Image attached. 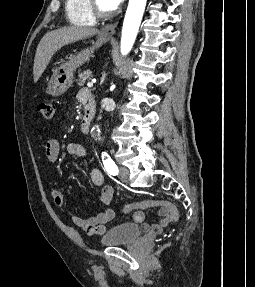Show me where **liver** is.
Segmentation results:
<instances>
[{"instance_id": "obj_1", "label": "liver", "mask_w": 255, "mask_h": 287, "mask_svg": "<svg viewBox=\"0 0 255 287\" xmlns=\"http://www.w3.org/2000/svg\"><path fill=\"white\" fill-rule=\"evenodd\" d=\"M97 32L96 28H90V26H67V28H59V30L47 32L40 40L35 54L33 66V80L35 84L42 76L44 70H46L53 54L58 52L62 46L74 44V42L85 40V38H91Z\"/></svg>"}]
</instances>
